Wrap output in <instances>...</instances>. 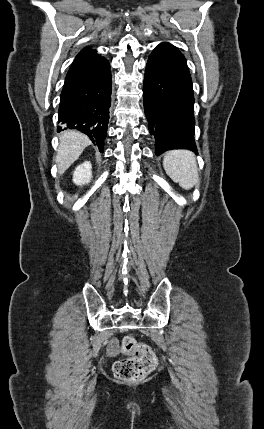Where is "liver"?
<instances>
[{"label":"liver","mask_w":264,"mask_h":429,"mask_svg":"<svg viewBox=\"0 0 264 429\" xmlns=\"http://www.w3.org/2000/svg\"><path fill=\"white\" fill-rule=\"evenodd\" d=\"M90 143V139L81 132L74 130L64 131L60 135V144L55 159L58 165V173L62 175L79 158Z\"/></svg>","instance_id":"1"}]
</instances>
